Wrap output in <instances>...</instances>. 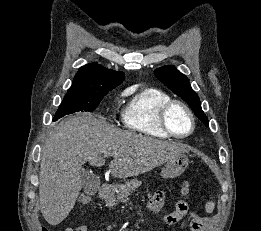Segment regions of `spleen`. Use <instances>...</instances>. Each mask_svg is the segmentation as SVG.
<instances>
[{
  "label": "spleen",
  "mask_w": 261,
  "mask_h": 231,
  "mask_svg": "<svg viewBox=\"0 0 261 231\" xmlns=\"http://www.w3.org/2000/svg\"><path fill=\"white\" fill-rule=\"evenodd\" d=\"M214 206H215V204L213 203V202H208L207 204H206V211L207 212H212L213 211V209H214Z\"/></svg>",
  "instance_id": "spleen-1"
}]
</instances>
